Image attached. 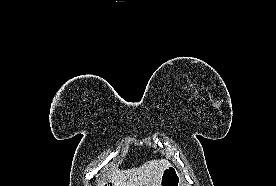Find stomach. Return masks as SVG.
<instances>
[{"instance_id":"stomach-1","label":"stomach","mask_w":276,"mask_h":186,"mask_svg":"<svg viewBox=\"0 0 276 186\" xmlns=\"http://www.w3.org/2000/svg\"><path fill=\"white\" fill-rule=\"evenodd\" d=\"M160 186H183L182 176L175 167L170 165L164 169L161 175Z\"/></svg>"}]
</instances>
